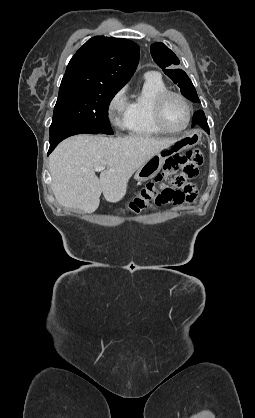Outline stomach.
Instances as JSON below:
<instances>
[{"mask_svg": "<svg viewBox=\"0 0 255 418\" xmlns=\"http://www.w3.org/2000/svg\"><path fill=\"white\" fill-rule=\"evenodd\" d=\"M201 140V134L199 131L194 130L183 137H181L177 143L170 148L159 152L148 161H146L135 173L134 178L138 182H145L153 178L163 167L165 160L184 149L195 146Z\"/></svg>", "mask_w": 255, "mask_h": 418, "instance_id": "0dacf381", "label": "stomach"}]
</instances>
